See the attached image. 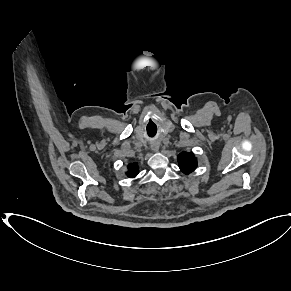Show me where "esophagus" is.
<instances>
[{
  "label": "esophagus",
  "instance_id": "1",
  "mask_svg": "<svg viewBox=\"0 0 291 291\" xmlns=\"http://www.w3.org/2000/svg\"><path fill=\"white\" fill-rule=\"evenodd\" d=\"M151 148H152L153 151H158V149H159V145H158L157 143H153V144L151 145Z\"/></svg>",
  "mask_w": 291,
  "mask_h": 291
}]
</instances>
